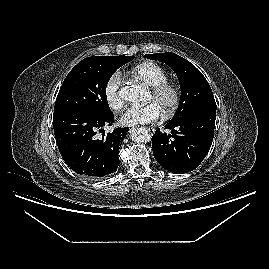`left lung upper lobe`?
I'll return each mask as SVG.
<instances>
[{"mask_svg":"<svg viewBox=\"0 0 269 269\" xmlns=\"http://www.w3.org/2000/svg\"><path fill=\"white\" fill-rule=\"evenodd\" d=\"M144 57L165 62L178 76L181 97L171 123L180 121L204 107L216 108L215 99L207 80L189 61L171 52L147 54Z\"/></svg>","mask_w":269,"mask_h":269,"instance_id":"1","label":"left lung upper lobe"}]
</instances>
